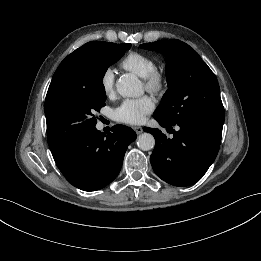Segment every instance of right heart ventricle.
Segmentation results:
<instances>
[{"label":"right heart ventricle","mask_w":261,"mask_h":261,"mask_svg":"<svg viewBox=\"0 0 261 261\" xmlns=\"http://www.w3.org/2000/svg\"><path fill=\"white\" fill-rule=\"evenodd\" d=\"M121 66L138 76L145 78L153 69L156 62L153 57L142 52H130L121 61Z\"/></svg>","instance_id":"obj_1"}]
</instances>
